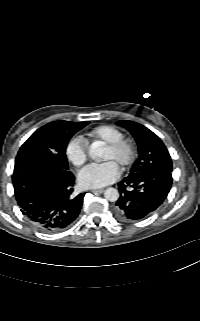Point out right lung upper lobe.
I'll return each instance as SVG.
<instances>
[{
	"mask_svg": "<svg viewBox=\"0 0 200 321\" xmlns=\"http://www.w3.org/2000/svg\"><path fill=\"white\" fill-rule=\"evenodd\" d=\"M56 123H61V122H65V121H55Z\"/></svg>",
	"mask_w": 200,
	"mask_h": 321,
	"instance_id": "right-lung-upper-lobe-1",
	"label": "right lung upper lobe"
}]
</instances>
